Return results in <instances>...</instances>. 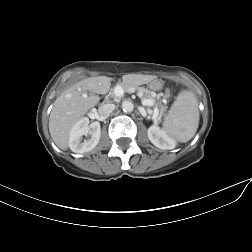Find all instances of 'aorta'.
Masks as SVG:
<instances>
[{"label":"aorta","instance_id":"obj_1","mask_svg":"<svg viewBox=\"0 0 252 252\" xmlns=\"http://www.w3.org/2000/svg\"><path fill=\"white\" fill-rule=\"evenodd\" d=\"M122 109L124 112H132L134 109V105L131 101L125 100L122 102Z\"/></svg>","mask_w":252,"mask_h":252}]
</instances>
